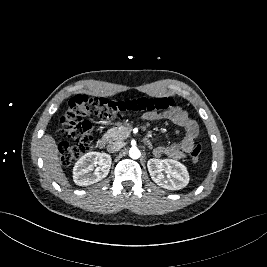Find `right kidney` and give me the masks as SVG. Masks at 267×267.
<instances>
[{
  "mask_svg": "<svg viewBox=\"0 0 267 267\" xmlns=\"http://www.w3.org/2000/svg\"><path fill=\"white\" fill-rule=\"evenodd\" d=\"M111 163V156L107 153H86L76 162L73 168L74 182L79 186H88L102 180L108 175ZM96 164L99 167L94 169ZM92 171L93 173H91Z\"/></svg>",
  "mask_w": 267,
  "mask_h": 267,
  "instance_id": "right-kidney-1",
  "label": "right kidney"
}]
</instances>
